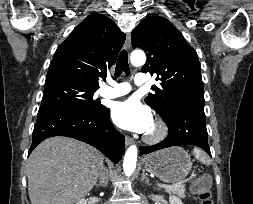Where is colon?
<instances>
[{"mask_svg": "<svg viewBox=\"0 0 253 204\" xmlns=\"http://www.w3.org/2000/svg\"><path fill=\"white\" fill-rule=\"evenodd\" d=\"M191 191L197 196L200 204H214L211 192V177L202 174L191 183Z\"/></svg>", "mask_w": 253, "mask_h": 204, "instance_id": "colon-1", "label": "colon"}]
</instances>
